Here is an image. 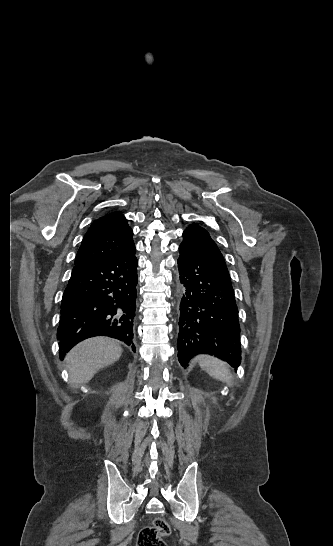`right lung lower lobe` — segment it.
<instances>
[{
	"label": "right lung lower lobe",
	"instance_id": "1",
	"mask_svg": "<svg viewBox=\"0 0 333 546\" xmlns=\"http://www.w3.org/2000/svg\"><path fill=\"white\" fill-rule=\"evenodd\" d=\"M135 244L114 258L75 265L62 297L57 330L60 358L94 336L123 341L135 352L137 259Z\"/></svg>",
	"mask_w": 333,
	"mask_h": 546
}]
</instances>
